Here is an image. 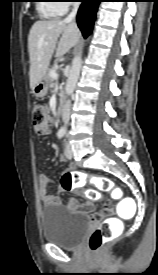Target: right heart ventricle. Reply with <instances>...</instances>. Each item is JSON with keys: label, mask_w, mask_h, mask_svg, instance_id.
Returning <instances> with one entry per match:
<instances>
[{"label": "right heart ventricle", "mask_w": 158, "mask_h": 275, "mask_svg": "<svg viewBox=\"0 0 158 275\" xmlns=\"http://www.w3.org/2000/svg\"><path fill=\"white\" fill-rule=\"evenodd\" d=\"M44 2H50V1H44ZM39 10L43 15L47 17H58L63 14L61 8L57 6V3H41L39 4Z\"/></svg>", "instance_id": "right-heart-ventricle-1"}]
</instances>
